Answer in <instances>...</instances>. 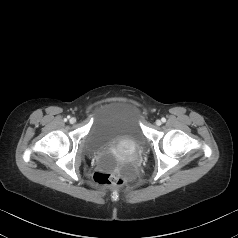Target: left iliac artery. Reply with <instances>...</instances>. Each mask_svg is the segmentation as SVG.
I'll return each mask as SVG.
<instances>
[{
	"label": "left iliac artery",
	"mask_w": 238,
	"mask_h": 238,
	"mask_svg": "<svg viewBox=\"0 0 238 238\" xmlns=\"http://www.w3.org/2000/svg\"><path fill=\"white\" fill-rule=\"evenodd\" d=\"M161 120H162V122H166V119L164 117Z\"/></svg>",
	"instance_id": "44dca946"
}]
</instances>
